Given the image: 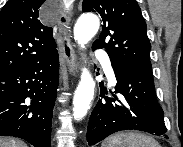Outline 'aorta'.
Masks as SVG:
<instances>
[{
  "instance_id": "762f6f07",
  "label": "aorta",
  "mask_w": 183,
  "mask_h": 147,
  "mask_svg": "<svg viewBox=\"0 0 183 147\" xmlns=\"http://www.w3.org/2000/svg\"><path fill=\"white\" fill-rule=\"evenodd\" d=\"M100 26L99 19L94 14H83L74 27L75 41L84 48L85 45L97 33ZM95 82L88 71L83 68L80 82L75 90L73 98V116L75 120H82L90 108L94 96Z\"/></svg>"
}]
</instances>
